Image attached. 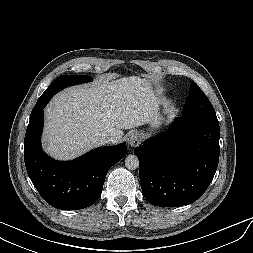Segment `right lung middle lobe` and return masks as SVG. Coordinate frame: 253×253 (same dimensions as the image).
Listing matches in <instances>:
<instances>
[{
	"instance_id": "obj_1",
	"label": "right lung middle lobe",
	"mask_w": 253,
	"mask_h": 253,
	"mask_svg": "<svg viewBox=\"0 0 253 253\" xmlns=\"http://www.w3.org/2000/svg\"><path fill=\"white\" fill-rule=\"evenodd\" d=\"M89 81H91V77L86 75L59 76L49 85V87L45 90V92L40 96L31 112V115L37 112L40 108H44L46 104L49 102V100L53 97V95L56 94L58 91L62 90L63 88Z\"/></svg>"
}]
</instances>
